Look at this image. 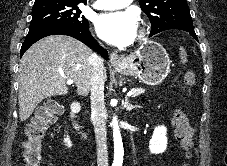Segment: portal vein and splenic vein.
<instances>
[{
	"label": "portal vein and splenic vein",
	"instance_id": "1",
	"mask_svg": "<svg viewBox=\"0 0 227 166\" xmlns=\"http://www.w3.org/2000/svg\"><path fill=\"white\" fill-rule=\"evenodd\" d=\"M63 77H64V75H62ZM74 83V81L72 80V79H68L67 80V84L68 85H71V84H73ZM134 95V91H129L128 93H127V96H133Z\"/></svg>",
	"mask_w": 227,
	"mask_h": 166
}]
</instances>
